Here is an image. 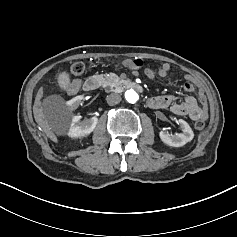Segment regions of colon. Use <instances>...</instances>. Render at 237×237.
I'll list each match as a JSON object with an SVG mask.
<instances>
[{
	"instance_id": "colon-1",
	"label": "colon",
	"mask_w": 237,
	"mask_h": 237,
	"mask_svg": "<svg viewBox=\"0 0 237 237\" xmlns=\"http://www.w3.org/2000/svg\"><path fill=\"white\" fill-rule=\"evenodd\" d=\"M143 65V62L142 60L140 59H135V60H132V66L136 69H139L141 68ZM71 73L74 75V76H81L84 71H85V65L82 63V62H75L71 65ZM145 74L148 78L150 79H154L157 75V72L153 69H146L145 70ZM205 121L204 120H198L196 123H195V128L199 131L203 130L205 128Z\"/></svg>"
}]
</instances>
